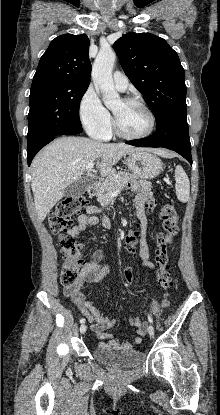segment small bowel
<instances>
[{"mask_svg":"<svg viewBox=\"0 0 220 415\" xmlns=\"http://www.w3.org/2000/svg\"><path fill=\"white\" fill-rule=\"evenodd\" d=\"M132 190L137 191L135 198V214L139 221V229L131 230L126 235L125 246L128 249L136 247L138 244V256L142 260L143 265L154 270L155 266L150 261L146 210L148 208H153L155 202L152 198V192L148 182L141 180L132 188ZM99 213L100 209L97 206L89 205L86 208L85 213L78 217L77 223L69 230V234L76 237L89 226L97 225L100 222V219L97 217V214ZM102 225L104 227H109L111 225V220L109 218H104L102 220ZM103 260V251L99 249L94 250L92 253V260L84 262L78 281L73 286L67 287L64 290V295L71 300L80 313L91 323V330L95 333L96 337L105 340L100 342L99 346L115 350H131L142 343V337L147 333V324L142 322L139 318H131L129 324L137 328L136 336L129 342H121L118 339H114L112 334L109 333V330L115 326L116 320L104 316L83 292V288L86 284H94L109 273V268L102 264Z\"/></svg>","mask_w":220,"mask_h":415,"instance_id":"small-bowel-1","label":"small bowel"}]
</instances>
